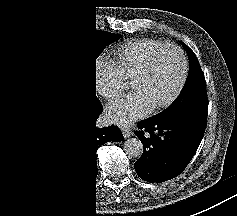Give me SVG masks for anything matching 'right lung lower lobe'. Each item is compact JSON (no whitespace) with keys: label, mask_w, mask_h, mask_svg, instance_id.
<instances>
[{"label":"right lung lower lobe","mask_w":237,"mask_h":216,"mask_svg":"<svg viewBox=\"0 0 237 216\" xmlns=\"http://www.w3.org/2000/svg\"><path fill=\"white\" fill-rule=\"evenodd\" d=\"M99 142H107L109 141H120L123 139L121 131L117 127H108L103 128L102 133L98 136Z\"/></svg>","instance_id":"1"}]
</instances>
